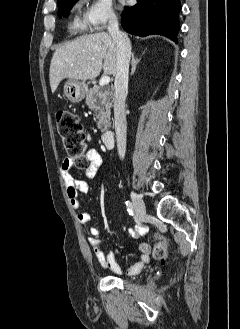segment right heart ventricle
<instances>
[{
  "instance_id": "1",
  "label": "right heart ventricle",
  "mask_w": 240,
  "mask_h": 329,
  "mask_svg": "<svg viewBox=\"0 0 240 329\" xmlns=\"http://www.w3.org/2000/svg\"><path fill=\"white\" fill-rule=\"evenodd\" d=\"M86 27L85 21L81 20L77 14L70 23V29L74 31H84Z\"/></svg>"
}]
</instances>
